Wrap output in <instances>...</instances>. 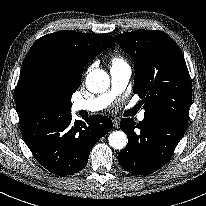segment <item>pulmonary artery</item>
<instances>
[{"instance_id":"1","label":"pulmonary artery","mask_w":206,"mask_h":206,"mask_svg":"<svg viewBox=\"0 0 206 206\" xmlns=\"http://www.w3.org/2000/svg\"><path fill=\"white\" fill-rule=\"evenodd\" d=\"M131 73V67L127 63L118 62L113 64L110 68L111 89L97 97L74 101L73 109L75 111L85 110L88 112H98L105 109L125 90ZM144 117V113L141 112L138 114L137 119L142 121Z\"/></svg>"}]
</instances>
